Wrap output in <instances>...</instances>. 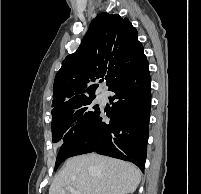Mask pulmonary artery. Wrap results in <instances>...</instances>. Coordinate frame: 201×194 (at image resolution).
Segmentation results:
<instances>
[{
  "mask_svg": "<svg viewBox=\"0 0 201 194\" xmlns=\"http://www.w3.org/2000/svg\"><path fill=\"white\" fill-rule=\"evenodd\" d=\"M104 98H105L104 95H102V96H101V99L104 100Z\"/></svg>",
  "mask_w": 201,
  "mask_h": 194,
  "instance_id": "e3ab8cb5",
  "label": "pulmonary artery"
}]
</instances>
